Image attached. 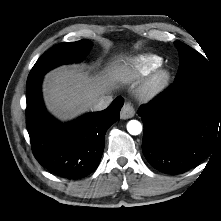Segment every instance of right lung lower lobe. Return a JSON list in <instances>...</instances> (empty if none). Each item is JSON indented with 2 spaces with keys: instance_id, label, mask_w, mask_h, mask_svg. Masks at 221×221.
Returning a JSON list of instances; mask_svg holds the SVG:
<instances>
[{
  "instance_id": "98d812e1",
  "label": "right lung lower lobe",
  "mask_w": 221,
  "mask_h": 221,
  "mask_svg": "<svg viewBox=\"0 0 221 221\" xmlns=\"http://www.w3.org/2000/svg\"><path fill=\"white\" fill-rule=\"evenodd\" d=\"M42 78L27 85L26 125L33 154L49 172L80 179L98 166L107 129L120 118L124 100L118 97L104 111L61 124L50 116L41 96Z\"/></svg>"
}]
</instances>
